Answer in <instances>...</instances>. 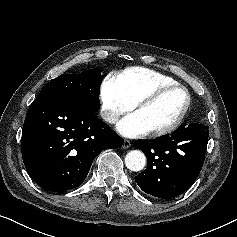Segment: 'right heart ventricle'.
<instances>
[{
    "label": "right heart ventricle",
    "mask_w": 237,
    "mask_h": 237,
    "mask_svg": "<svg viewBox=\"0 0 237 237\" xmlns=\"http://www.w3.org/2000/svg\"><path fill=\"white\" fill-rule=\"evenodd\" d=\"M113 76L133 104L161 85L177 83L170 76L142 67L127 68Z\"/></svg>",
    "instance_id": "1"
}]
</instances>
